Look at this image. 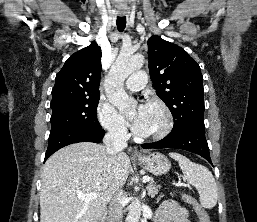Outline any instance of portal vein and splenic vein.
Masks as SVG:
<instances>
[{
    "mask_svg": "<svg viewBox=\"0 0 257 222\" xmlns=\"http://www.w3.org/2000/svg\"><path fill=\"white\" fill-rule=\"evenodd\" d=\"M144 182L150 181L149 177H144L143 178ZM98 194L97 193H88V194H80L78 195L79 198L86 200V201H90L93 200L95 198H97Z\"/></svg>",
    "mask_w": 257,
    "mask_h": 222,
    "instance_id": "18ae733b",
    "label": "portal vein and splenic vein"
}]
</instances>
